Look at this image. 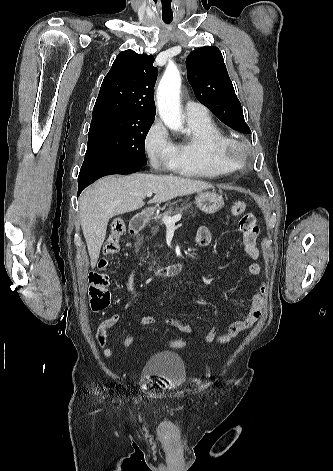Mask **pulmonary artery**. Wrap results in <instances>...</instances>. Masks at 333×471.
Masks as SVG:
<instances>
[{"label":"pulmonary artery","mask_w":333,"mask_h":471,"mask_svg":"<svg viewBox=\"0 0 333 471\" xmlns=\"http://www.w3.org/2000/svg\"><path fill=\"white\" fill-rule=\"evenodd\" d=\"M208 113L207 108L194 101H187L185 104V114L187 119H195L205 116Z\"/></svg>","instance_id":"pulmonary-artery-1"}]
</instances>
